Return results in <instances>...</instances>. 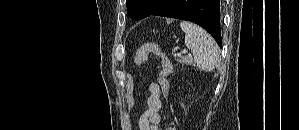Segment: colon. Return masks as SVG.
Listing matches in <instances>:
<instances>
[{"label": "colon", "mask_w": 299, "mask_h": 130, "mask_svg": "<svg viewBox=\"0 0 299 130\" xmlns=\"http://www.w3.org/2000/svg\"><path fill=\"white\" fill-rule=\"evenodd\" d=\"M149 55H157L161 58L162 61V67H163V75H166L171 72L172 70V63L160 50L158 45L154 43H145L141 45L138 50L136 51V54L134 56V64L136 66H141L143 63L146 62ZM162 87L165 94L168 93L169 86L167 82L162 79ZM165 130H173L170 126H167Z\"/></svg>", "instance_id": "obj_1"}]
</instances>
